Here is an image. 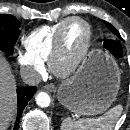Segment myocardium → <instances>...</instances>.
<instances>
[{"mask_svg": "<svg viewBox=\"0 0 130 130\" xmlns=\"http://www.w3.org/2000/svg\"><path fill=\"white\" fill-rule=\"evenodd\" d=\"M74 21H79L86 27L87 30V38L85 41V44L82 48V50L79 52L77 57L74 59L72 63H70L67 66H61L60 60L62 58L63 52H64V37H65V31L69 24H71ZM92 42V28L90 24L80 17H71L69 18L64 25L61 27L59 32L57 33L55 43L52 49V52L50 54V57L48 59V65L51 70V72L61 78H66L70 75H72L83 63L85 60L91 46Z\"/></svg>", "mask_w": 130, "mask_h": 130, "instance_id": "1", "label": "myocardium"}]
</instances>
